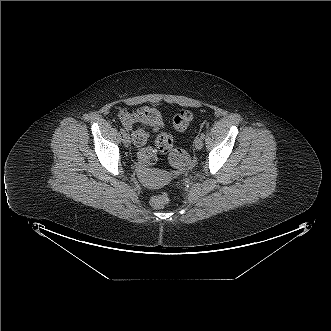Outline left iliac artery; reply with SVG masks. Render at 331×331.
Wrapping results in <instances>:
<instances>
[{"label":"left iliac artery","instance_id":"left-iliac-artery-1","mask_svg":"<svg viewBox=\"0 0 331 331\" xmlns=\"http://www.w3.org/2000/svg\"><path fill=\"white\" fill-rule=\"evenodd\" d=\"M200 138H201V139H204V138H205V134H204V133H201V134H200Z\"/></svg>","mask_w":331,"mask_h":331}]
</instances>
